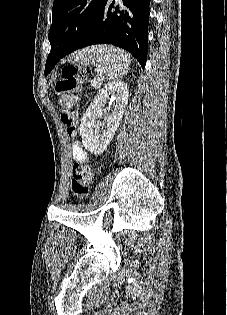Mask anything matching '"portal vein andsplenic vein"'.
Here are the masks:
<instances>
[{"label":"portal vein and splenic vein","mask_w":227,"mask_h":315,"mask_svg":"<svg viewBox=\"0 0 227 315\" xmlns=\"http://www.w3.org/2000/svg\"><path fill=\"white\" fill-rule=\"evenodd\" d=\"M92 84H93V85H97V86L100 85L99 79L93 80Z\"/></svg>","instance_id":"portal-vein-and-splenic-vein-1"}]
</instances>
